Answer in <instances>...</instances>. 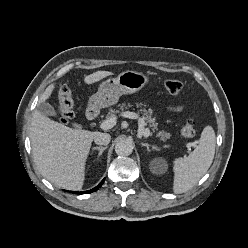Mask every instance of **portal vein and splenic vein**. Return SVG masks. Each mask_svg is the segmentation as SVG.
I'll return each mask as SVG.
<instances>
[{
  "instance_id": "portal-vein-and-splenic-vein-1",
  "label": "portal vein and splenic vein",
  "mask_w": 248,
  "mask_h": 248,
  "mask_svg": "<svg viewBox=\"0 0 248 248\" xmlns=\"http://www.w3.org/2000/svg\"><path fill=\"white\" fill-rule=\"evenodd\" d=\"M122 116L129 119L138 118V115L136 113L128 112V111L124 112ZM116 122H117L116 117L109 118L100 124V128L103 130L111 129L116 125ZM144 126H145L144 121L141 120L139 123V134L143 135L144 137H148L150 136V130L148 128L144 129Z\"/></svg>"
}]
</instances>
